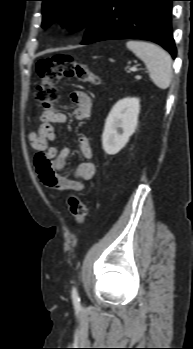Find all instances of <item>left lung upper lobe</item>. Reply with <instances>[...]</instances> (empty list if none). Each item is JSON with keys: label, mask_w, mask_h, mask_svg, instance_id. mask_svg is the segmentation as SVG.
<instances>
[{"label": "left lung upper lobe", "mask_w": 193, "mask_h": 349, "mask_svg": "<svg viewBox=\"0 0 193 349\" xmlns=\"http://www.w3.org/2000/svg\"><path fill=\"white\" fill-rule=\"evenodd\" d=\"M43 1L45 27L61 17L71 31L87 28L96 18L106 0H40Z\"/></svg>", "instance_id": "5c2ea615"}]
</instances>
